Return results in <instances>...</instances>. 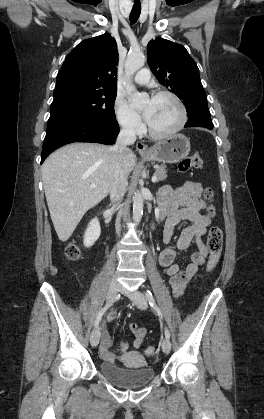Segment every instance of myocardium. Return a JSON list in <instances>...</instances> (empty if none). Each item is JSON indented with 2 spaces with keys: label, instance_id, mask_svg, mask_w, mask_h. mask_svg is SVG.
<instances>
[{
  "label": "myocardium",
  "instance_id": "obj_1",
  "mask_svg": "<svg viewBox=\"0 0 264 419\" xmlns=\"http://www.w3.org/2000/svg\"><path fill=\"white\" fill-rule=\"evenodd\" d=\"M162 96L169 97L176 103L179 109V121L175 127L162 133L154 131L148 124L147 132L149 136L157 140H162V139H167V138L172 137L184 127L187 121V110L183 101L180 99V97L176 95L174 92L169 91V90H159L153 94V98L162 97Z\"/></svg>",
  "mask_w": 264,
  "mask_h": 419
}]
</instances>
